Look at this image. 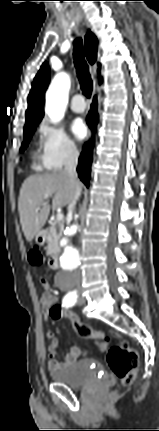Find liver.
Segmentation results:
<instances>
[{
    "instance_id": "1",
    "label": "liver",
    "mask_w": 159,
    "mask_h": 431,
    "mask_svg": "<svg viewBox=\"0 0 159 431\" xmlns=\"http://www.w3.org/2000/svg\"><path fill=\"white\" fill-rule=\"evenodd\" d=\"M77 180H72L63 172L36 174L29 176L20 189L18 210L24 236L28 242L40 234L46 223L52 198V209L69 205L75 195Z\"/></svg>"
}]
</instances>
